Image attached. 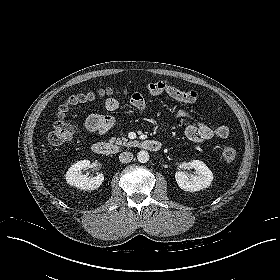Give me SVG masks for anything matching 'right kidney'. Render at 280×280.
<instances>
[{"label":"right kidney","instance_id":"ca27d5eb","mask_svg":"<svg viewBox=\"0 0 280 280\" xmlns=\"http://www.w3.org/2000/svg\"><path fill=\"white\" fill-rule=\"evenodd\" d=\"M91 162L87 159L73 164L66 172V181L68 184L83 190H94L103 183L104 175L98 174L95 177H88L82 173L83 169L90 167Z\"/></svg>","mask_w":280,"mask_h":280}]
</instances>
